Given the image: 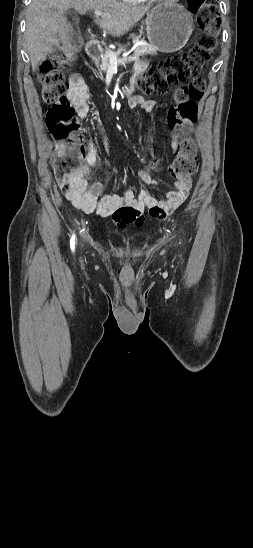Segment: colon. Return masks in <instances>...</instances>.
<instances>
[{"label":"colon","mask_w":253,"mask_h":548,"mask_svg":"<svg viewBox=\"0 0 253 548\" xmlns=\"http://www.w3.org/2000/svg\"><path fill=\"white\" fill-rule=\"evenodd\" d=\"M189 6L197 13L200 34L196 45L179 56H172L150 67L139 80V88L146 95H165L172 88L187 82L175 97V104L168 112V126L178 136L175 159L169 172L186 178L198 169L196 146L187 134L197 119L196 102L205 91V81L201 77L202 69L209 61L217 45L220 19L214 5L208 0H188ZM75 45L71 44L40 64L39 81L42 86V98L50 105L46 114L47 126L56 141L54 165L58 182L66 186L72 175L78 170L76 163L75 133L79 124L75 109L66 98V68L75 60ZM160 158L151 157L152 167H157Z\"/></svg>","instance_id":"5ec220e1"}]
</instances>
